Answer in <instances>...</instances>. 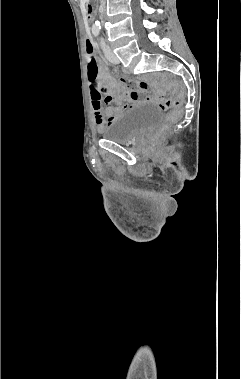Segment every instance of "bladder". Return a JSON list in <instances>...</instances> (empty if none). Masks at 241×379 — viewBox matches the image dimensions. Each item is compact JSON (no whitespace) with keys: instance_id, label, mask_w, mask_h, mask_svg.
<instances>
[{"instance_id":"1","label":"bladder","mask_w":241,"mask_h":379,"mask_svg":"<svg viewBox=\"0 0 241 379\" xmlns=\"http://www.w3.org/2000/svg\"><path fill=\"white\" fill-rule=\"evenodd\" d=\"M162 120V112L154 105L141 103L123 112L101 132L103 138L128 143L154 129Z\"/></svg>"}]
</instances>
